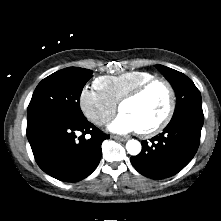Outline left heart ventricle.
I'll use <instances>...</instances> for the list:
<instances>
[{
	"instance_id": "b2bd125f",
	"label": "left heart ventricle",
	"mask_w": 221,
	"mask_h": 221,
	"mask_svg": "<svg viewBox=\"0 0 221 221\" xmlns=\"http://www.w3.org/2000/svg\"><path fill=\"white\" fill-rule=\"evenodd\" d=\"M168 105V93L163 85L152 86L141 97L123 104L121 112L132 116L139 130L158 123L164 116Z\"/></svg>"
}]
</instances>
